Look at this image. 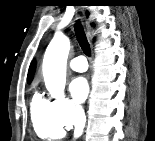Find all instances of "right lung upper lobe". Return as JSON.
Returning a JSON list of instances; mask_svg holds the SVG:
<instances>
[{
	"label": "right lung upper lobe",
	"instance_id": "1",
	"mask_svg": "<svg viewBox=\"0 0 155 141\" xmlns=\"http://www.w3.org/2000/svg\"><path fill=\"white\" fill-rule=\"evenodd\" d=\"M34 72H35V65H34V63H32L30 65V68H29V71H28V76H27V82L28 83H30L32 81Z\"/></svg>",
	"mask_w": 155,
	"mask_h": 141
}]
</instances>
